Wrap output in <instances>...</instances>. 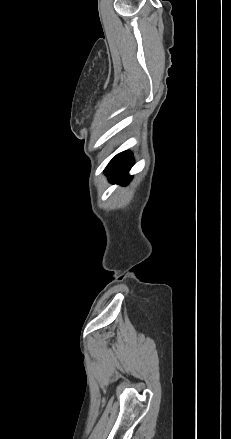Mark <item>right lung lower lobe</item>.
I'll list each match as a JSON object with an SVG mask.
<instances>
[{"label":"right lung lower lobe","instance_id":"98d812e1","mask_svg":"<svg viewBox=\"0 0 231 439\" xmlns=\"http://www.w3.org/2000/svg\"><path fill=\"white\" fill-rule=\"evenodd\" d=\"M133 165L132 154L130 152H122L116 155L108 164L105 169V173L112 181H123L128 183L131 180V176H128V172Z\"/></svg>","mask_w":231,"mask_h":439}]
</instances>
